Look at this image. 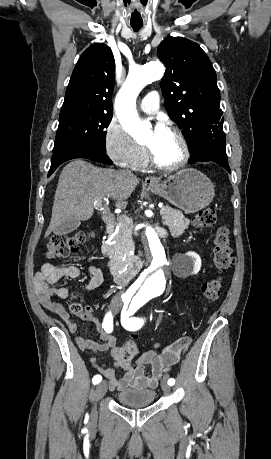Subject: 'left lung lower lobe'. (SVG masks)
Segmentation results:
<instances>
[{"mask_svg":"<svg viewBox=\"0 0 271 459\" xmlns=\"http://www.w3.org/2000/svg\"><path fill=\"white\" fill-rule=\"evenodd\" d=\"M213 161L224 167L229 173L230 167L227 161L225 133L223 131V123L211 128L203 136V149L200 155L190 160V164L195 162Z\"/></svg>","mask_w":271,"mask_h":459,"instance_id":"1","label":"left lung lower lobe"}]
</instances>
